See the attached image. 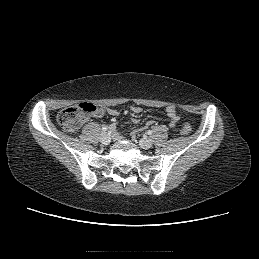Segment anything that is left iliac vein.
<instances>
[{
    "label": "left iliac vein",
    "instance_id": "1",
    "mask_svg": "<svg viewBox=\"0 0 259 259\" xmlns=\"http://www.w3.org/2000/svg\"><path fill=\"white\" fill-rule=\"evenodd\" d=\"M139 144L143 149H149L152 147L153 141L150 138H142Z\"/></svg>",
    "mask_w": 259,
    "mask_h": 259
}]
</instances>
